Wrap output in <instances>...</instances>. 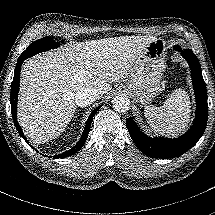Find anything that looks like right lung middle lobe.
Segmentation results:
<instances>
[{
  "label": "right lung middle lobe",
  "instance_id": "obj_1",
  "mask_svg": "<svg viewBox=\"0 0 215 215\" xmlns=\"http://www.w3.org/2000/svg\"><path fill=\"white\" fill-rule=\"evenodd\" d=\"M59 44L55 42L50 37H43L37 41L31 43L28 48L21 54V56H26L29 58L33 55H36L40 52L47 51L53 48H57Z\"/></svg>",
  "mask_w": 215,
  "mask_h": 215
}]
</instances>
